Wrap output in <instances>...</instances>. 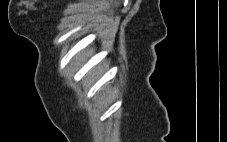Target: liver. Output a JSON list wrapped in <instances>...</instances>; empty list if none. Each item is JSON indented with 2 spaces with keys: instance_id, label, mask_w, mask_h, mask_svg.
<instances>
[{
  "instance_id": "1",
  "label": "liver",
  "mask_w": 227,
  "mask_h": 142,
  "mask_svg": "<svg viewBox=\"0 0 227 142\" xmlns=\"http://www.w3.org/2000/svg\"><path fill=\"white\" fill-rule=\"evenodd\" d=\"M88 54H89L88 52H85L83 55L87 56ZM79 58H81V55L79 56Z\"/></svg>"
}]
</instances>
